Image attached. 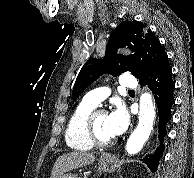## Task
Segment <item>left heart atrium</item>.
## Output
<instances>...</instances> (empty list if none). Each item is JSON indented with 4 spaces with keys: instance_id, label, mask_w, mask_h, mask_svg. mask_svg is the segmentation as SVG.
<instances>
[{
    "instance_id": "obj_1",
    "label": "left heart atrium",
    "mask_w": 194,
    "mask_h": 178,
    "mask_svg": "<svg viewBox=\"0 0 194 178\" xmlns=\"http://www.w3.org/2000/svg\"><path fill=\"white\" fill-rule=\"evenodd\" d=\"M128 123V114L122 106L116 107L107 115L108 129L113 137L121 135L127 129Z\"/></svg>"
}]
</instances>
